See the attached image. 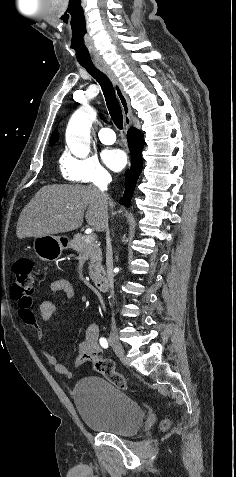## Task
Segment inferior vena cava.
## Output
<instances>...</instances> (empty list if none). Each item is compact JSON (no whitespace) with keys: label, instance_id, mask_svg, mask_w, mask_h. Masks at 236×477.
Wrapping results in <instances>:
<instances>
[{"label":"inferior vena cava","instance_id":"602c4592","mask_svg":"<svg viewBox=\"0 0 236 477\" xmlns=\"http://www.w3.org/2000/svg\"><path fill=\"white\" fill-rule=\"evenodd\" d=\"M111 181V178H105L97 183H95V186L97 187V190L101 194V198L104 204V209H103V230L106 231V266H107V277H108V282H109V287L111 290V297L113 294V257H112V246H111V239H110V232H109V226H108V195L106 194L107 190V185ZM113 320V319H112Z\"/></svg>","mask_w":236,"mask_h":477}]
</instances>
